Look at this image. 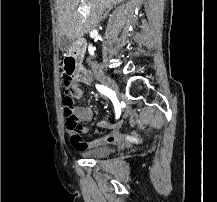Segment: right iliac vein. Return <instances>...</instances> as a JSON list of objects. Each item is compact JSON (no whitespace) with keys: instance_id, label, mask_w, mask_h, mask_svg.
I'll use <instances>...</instances> for the list:
<instances>
[{"instance_id":"obj_1","label":"right iliac vein","mask_w":217,"mask_h":202,"mask_svg":"<svg viewBox=\"0 0 217 202\" xmlns=\"http://www.w3.org/2000/svg\"><path fill=\"white\" fill-rule=\"evenodd\" d=\"M96 78L103 85H105L106 87H108L109 89H111L112 91H114L115 93L119 94V89L116 86L115 82L110 77H108L106 74H104V73H98L96 75Z\"/></svg>"}]
</instances>
